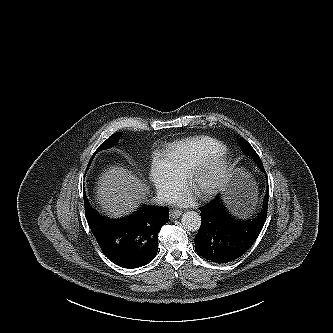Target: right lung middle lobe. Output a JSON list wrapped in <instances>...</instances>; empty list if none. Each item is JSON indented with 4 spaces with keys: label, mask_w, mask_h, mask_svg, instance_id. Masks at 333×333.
<instances>
[{
    "label": "right lung middle lobe",
    "mask_w": 333,
    "mask_h": 333,
    "mask_svg": "<svg viewBox=\"0 0 333 333\" xmlns=\"http://www.w3.org/2000/svg\"><path fill=\"white\" fill-rule=\"evenodd\" d=\"M118 133H115L113 135H111L107 140H105L99 147L98 149L95 151V153L93 154L91 160L93 159L94 155L103 150V149H107V148H110L111 146L114 145V143L118 140Z\"/></svg>",
    "instance_id": "right-lung-middle-lobe-1"
}]
</instances>
